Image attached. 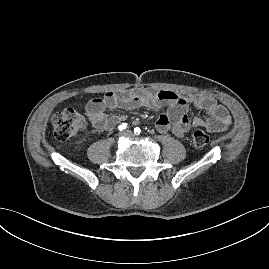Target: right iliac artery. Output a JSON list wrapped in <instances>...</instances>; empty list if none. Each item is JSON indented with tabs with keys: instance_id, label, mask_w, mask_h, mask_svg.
<instances>
[{
	"instance_id": "1",
	"label": "right iliac artery",
	"mask_w": 269,
	"mask_h": 269,
	"mask_svg": "<svg viewBox=\"0 0 269 269\" xmlns=\"http://www.w3.org/2000/svg\"><path fill=\"white\" fill-rule=\"evenodd\" d=\"M127 123H122L121 125L118 126V130L122 131L125 130L127 128Z\"/></svg>"
}]
</instances>
